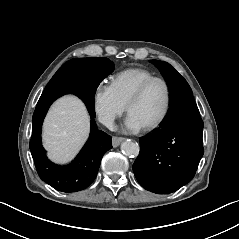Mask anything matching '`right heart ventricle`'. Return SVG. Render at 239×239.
Here are the masks:
<instances>
[{
	"instance_id": "e07e8e85",
	"label": "right heart ventricle",
	"mask_w": 239,
	"mask_h": 239,
	"mask_svg": "<svg viewBox=\"0 0 239 239\" xmlns=\"http://www.w3.org/2000/svg\"><path fill=\"white\" fill-rule=\"evenodd\" d=\"M151 77H154V75L149 70L132 67L115 73L111 77L110 84L119 100L126 106L134 91Z\"/></svg>"
}]
</instances>
